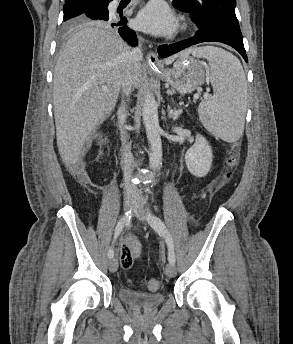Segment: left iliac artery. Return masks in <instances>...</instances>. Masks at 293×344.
<instances>
[{"label":"left iliac artery","mask_w":293,"mask_h":344,"mask_svg":"<svg viewBox=\"0 0 293 344\" xmlns=\"http://www.w3.org/2000/svg\"><path fill=\"white\" fill-rule=\"evenodd\" d=\"M147 220L149 225L159 234L163 235L167 246H168V260L170 263L175 264V253H174V245H173V240L170 232L166 228L165 224L163 221L155 216L148 208V214H147Z\"/></svg>","instance_id":"1"}]
</instances>
